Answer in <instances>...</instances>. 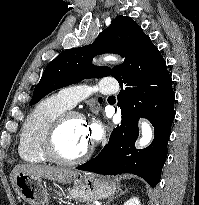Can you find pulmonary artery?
Masks as SVG:
<instances>
[{"instance_id": "e3ab8cb5", "label": "pulmonary artery", "mask_w": 199, "mask_h": 205, "mask_svg": "<svg viewBox=\"0 0 199 205\" xmlns=\"http://www.w3.org/2000/svg\"><path fill=\"white\" fill-rule=\"evenodd\" d=\"M117 85L109 86L105 83L97 84H79L63 88L59 96L62 101L69 107L75 106L78 102L89 97L93 92H101L102 94H113L117 91Z\"/></svg>"}]
</instances>
